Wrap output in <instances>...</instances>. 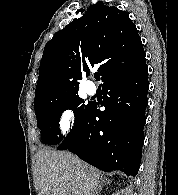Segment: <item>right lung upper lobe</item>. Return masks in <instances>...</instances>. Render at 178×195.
<instances>
[{
    "mask_svg": "<svg viewBox=\"0 0 178 195\" xmlns=\"http://www.w3.org/2000/svg\"><path fill=\"white\" fill-rule=\"evenodd\" d=\"M145 55L129 15L97 2L45 45L34 108L48 100L78 93L79 81L94 66H99L105 82L138 67Z\"/></svg>",
    "mask_w": 178,
    "mask_h": 195,
    "instance_id": "cb5924a9",
    "label": "right lung upper lobe"
}]
</instances>
